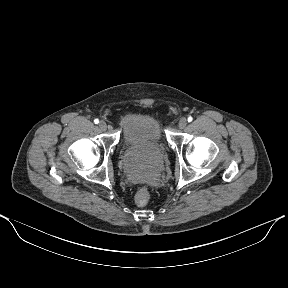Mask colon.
<instances>
[{
	"label": "colon",
	"mask_w": 288,
	"mask_h": 288,
	"mask_svg": "<svg viewBox=\"0 0 288 288\" xmlns=\"http://www.w3.org/2000/svg\"><path fill=\"white\" fill-rule=\"evenodd\" d=\"M150 200V192L147 188H141L135 195V202L138 206H145Z\"/></svg>",
	"instance_id": "5ec220e1"
}]
</instances>
